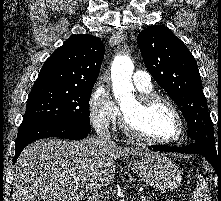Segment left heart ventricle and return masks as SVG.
<instances>
[{
  "label": "left heart ventricle",
  "instance_id": "1",
  "mask_svg": "<svg viewBox=\"0 0 221 201\" xmlns=\"http://www.w3.org/2000/svg\"><path fill=\"white\" fill-rule=\"evenodd\" d=\"M130 124L140 133L157 139H171L179 132V123L172 110L157 102L146 108L138 106L136 98L122 105Z\"/></svg>",
  "mask_w": 221,
  "mask_h": 201
}]
</instances>
